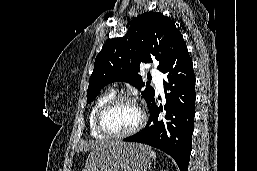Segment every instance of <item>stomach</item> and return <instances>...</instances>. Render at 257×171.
Masks as SVG:
<instances>
[{"instance_id": "stomach-1", "label": "stomach", "mask_w": 257, "mask_h": 171, "mask_svg": "<svg viewBox=\"0 0 257 171\" xmlns=\"http://www.w3.org/2000/svg\"><path fill=\"white\" fill-rule=\"evenodd\" d=\"M150 157L146 146L116 141L92 151L83 171H146Z\"/></svg>"}]
</instances>
